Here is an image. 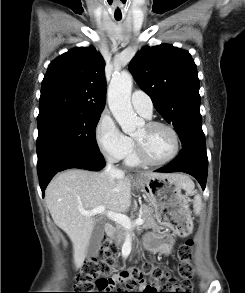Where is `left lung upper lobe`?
Here are the masks:
<instances>
[{"mask_svg":"<svg viewBox=\"0 0 245 293\" xmlns=\"http://www.w3.org/2000/svg\"><path fill=\"white\" fill-rule=\"evenodd\" d=\"M129 69L156 110L174 126L182 147L206 149L199 79L191 55L168 44L145 47L131 60Z\"/></svg>","mask_w":245,"mask_h":293,"instance_id":"obj_1","label":"left lung upper lobe"}]
</instances>
